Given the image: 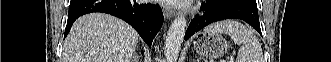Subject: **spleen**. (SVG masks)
Instances as JSON below:
<instances>
[{
    "mask_svg": "<svg viewBox=\"0 0 331 62\" xmlns=\"http://www.w3.org/2000/svg\"><path fill=\"white\" fill-rule=\"evenodd\" d=\"M204 32L228 34L235 44L241 45L236 62H262L261 45L254 34L243 24L225 20L207 26Z\"/></svg>",
    "mask_w": 331,
    "mask_h": 62,
    "instance_id": "obj_1",
    "label": "spleen"
}]
</instances>
